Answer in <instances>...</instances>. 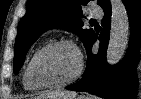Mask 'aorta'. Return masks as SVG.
Here are the masks:
<instances>
[{"label":"aorta","instance_id":"obj_1","mask_svg":"<svg viewBox=\"0 0 141 99\" xmlns=\"http://www.w3.org/2000/svg\"><path fill=\"white\" fill-rule=\"evenodd\" d=\"M111 29L106 52L107 62L117 64L123 57L129 38V19L122 0H111Z\"/></svg>","mask_w":141,"mask_h":99}]
</instances>
